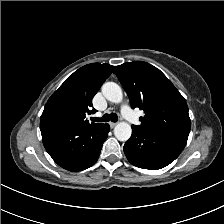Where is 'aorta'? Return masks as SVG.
<instances>
[{"label":"aorta","instance_id":"1","mask_svg":"<svg viewBox=\"0 0 224 224\" xmlns=\"http://www.w3.org/2000/svg\"><path fill=\"white\" fill-rule=\"evenodd\" d=\"M102 93L104 97L113 103H120L123 99L121 87L114 82H106L102 86ZM132 134V129L129 123L119 122L114 128V135L119 141H127Z\"/></svg>","mask_w":224,"mask_h":224}]
</instances>
